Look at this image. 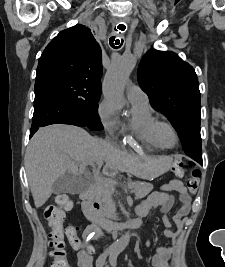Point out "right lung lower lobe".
Listing matches in <instances>:
<instances>
[{
    "mask_svg": "<svg viewBox=\"0 0 225 267\" xmlns=\"http://www.w3.org/2000/svg\"><path fill=\"white\" fill-rule=\"evenodd\" d=\"M35 100L31 138L40 128L51 124H70L85 127L86 123L65 101L45 84L35 83Z\"/></svg>",
    "mask_w": 225,
    "mask_h": 267,
    "instance_id": "right-lung-lower-lobe-1",
    "label": "right lung lower lobe"
}]
</instances>
